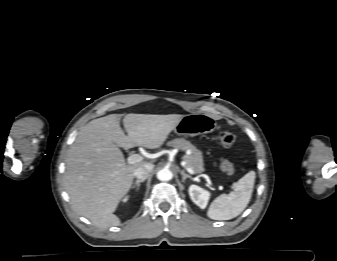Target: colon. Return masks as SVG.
I'll list each match as a JSON object with an SVG mask.
<instances>
[{
	"label": "colon",
	"instance_id": "colon-1",
	"mask_svg": "<svg viewBox=\"0 0 337 261\" xmlns=\"http://www.w3.org/2000/svg\"><path fill=\"white\" fill-rule=\"evenodd\" d=\"M235 142V136L230 132H222L219 135V143L224 148L231 147ZM220 167L223 172L227 175L235 174V167L229 160H223L220 164Z\"/></svg>",
	"mask_w": 337,
	"mask_h": 261
}]
</instances>
